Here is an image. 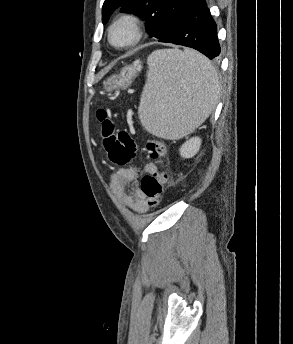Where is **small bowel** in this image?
I'll use <instances>...</instances> for the list:
<instances>
[{
	"label": "small bowel",
	"mask_w": 293,
	"mask_h": 344,
	"mask_svg": "<svg viewBox=\"0 0 293 344\" xmlns=\"http://www.w3.org/2000/svg\"><path fill=\"white\" fill-rule=\"evenodd\" d=\"M156 170L153 163H144L140 167H128L116 172V177L122 186L120 198L124 205L138 213H144L147 210L146 198L137 183L139 172L153 173Z\"/></svg>",
	"instance_id": "small-bowel-1"
}]
</instances>
